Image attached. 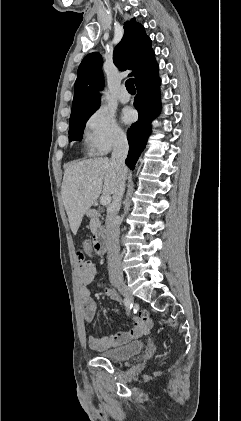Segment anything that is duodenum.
Here are the masks:
<instances>
[{
  "mask_svg": "<svg viewBox=\"0 0 241 421\" xmlns=\"http://www.w3.org/2000/svg\"><path fill=\"white\" fill-rule=\"evenodd\" d=\"M86 215L90 218H97L99 216L96 210H88ZM93 247L99 255L104 254L108 249V236L103 228H99L93 237Z\"/></svg>",
  "mask_w": 241,
  "mask_h": 421,
  "instance_id": "1",
  "label": "duodenum"
}]
</instances>
